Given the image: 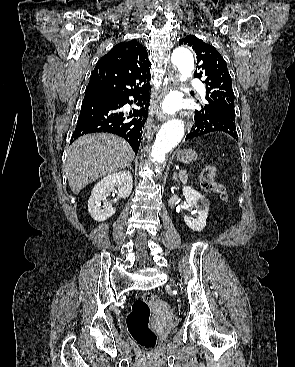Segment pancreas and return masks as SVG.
Here are the masks:
<instances>
[{"instance_id": "cf45deb5", "label": "pancreas", "mask_w": 295, "mask_h": 367, "mask_svg": "<svg viewBox=\"0 0 295 367\" xmlns=\"http://www.w3.org/2000/svg\"><path fill=\"white\" fill-rule=\"evenodd\" d=\"M179 179L182 183H186L187 182V176L183 175V176H179Z\"/></svg>"}]
</instances>
